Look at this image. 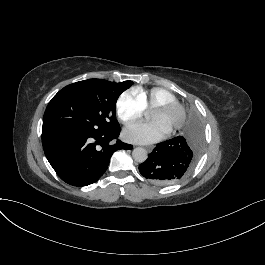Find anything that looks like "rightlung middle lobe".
Masks as SVG:
<instances>
[{
  "label": "right lung middle lobe",
  "instance_id": "right-lung-middle-lobe-1",
  "mask_svg": "<svg viewBox=\"0 0 265 265\" xmlns=\"http://www.w3.org/2000/svg\"><path fill=\"white\" fill-rule=\"evenodd\" d=\"M132 84L88 79L64 87L46 108L42 140L62 134L98 135L119 129L116 101Z\"/></svg>",
  "mask_w": 265,
  "mask_h": 265
}]
</instances>
